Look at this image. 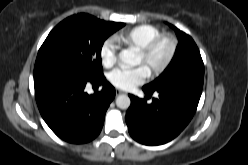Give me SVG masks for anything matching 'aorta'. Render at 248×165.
<instances>
[{
  "mask_svg": "<svg viewBox=\"0 0 248 165\" xmlns=\"http://www.w3.org/2000/svg\"><path fill=\"white\" fill-rule=\"evenodd\" d=\"M119 58L123 63L132 66L138 65L140 62L138 55L129 49L122 50L119 54ZM130 104L131 100L127 95L122 94L116 98V105L120 109H128Z\"/></svg>",
  "mask_w": 248,
  "mask_h": 165,
  "instance_id": "obj_1",
  "label": "aorta"
}]
</instances>
